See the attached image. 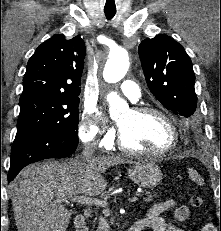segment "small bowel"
<instances>
[{
    "label": "small bowel",
    "mask_w": 221,
    "mask_h": 231,
    "mask_svg": "<svg viewBox=\"0 0 221 231\" xmlns=\"http://www.w3.org/2000/svg\"><path fill=\"white\" fill-rule=\"evenodd\" d=\"M174 209L175 219L178 222L190 224L193 222L192 215L188 207L176 206L172 199L154 204L148 211L147 216L135 222L140 226L141 231H185L176 224L165 220L161 214ZM198 231H216L212 224H205L198 228Z\"/></svg>",
    "instance_id": "1"
}]
</instances>
